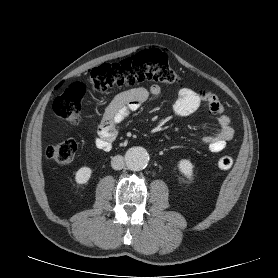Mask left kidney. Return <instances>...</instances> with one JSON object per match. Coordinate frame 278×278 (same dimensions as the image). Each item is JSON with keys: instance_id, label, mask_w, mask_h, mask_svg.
Here are the masks:
<instances>
[{"instance_id": "left-kidney-1", "label": "left kidney", "mask_w": 278, "mask_h": 278, "mask_svg": "<svg viewBox=\"0 0 278 278\" xmlns=\"http://www.w3.org/2000/svg\"><path fill=\"white\" fill-rule=\"evenodd\" d=\"M178 168L185 177H187L189 180H193V165L189 160H180Z\"/></svg>"}]
</instances>
